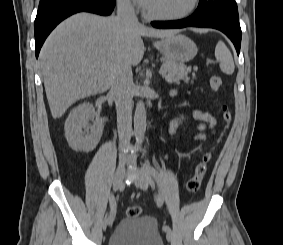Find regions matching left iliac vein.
I'll use <instances>...</instances> for the list:
<instances>
[{
  "mask_svg": "<svg viewBox=\"0 0 283 245\" xmlns=\"http://www.w3.org/2000/svg\"><path fill=\"white\" fill-rule=\"evenodd\" d=\"M135 184L141 190L146 191L150 185V176L144 168L137 170V175L134 178ZM166 238L168 241H171L173 238L172 232H166Z\"/></svg>",
  "mask_w": 283,
  "mask_h": 245,
  "instance_id": "4c4485c4",
  "label": "left iliac vein"
}]
</instances>
